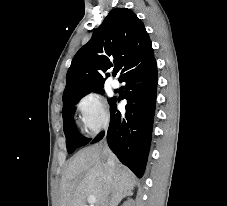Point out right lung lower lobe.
<instances>
[{
    "label": "right lung lower lobe",
    "instance_id": "98d812e1",
    "mask_svg": "<svg viewBox=\"0 0 227 206\" xmlns=\"http://www.w3.org/2000/svg\"><path fill=\"white\" fill-rule=\"evenodd\" d=\"M126 83L122 99L127 100L126 113L116 108V98L110 104V125L107 141L119 160L139 178L147 162L157 91V66L154 56L147 62L128 70L120 79ZM102 133L91 143L104 137Z\"/></svg>",
    "mask_w": 227,
    "mask_h": 206
}]
</instances>
